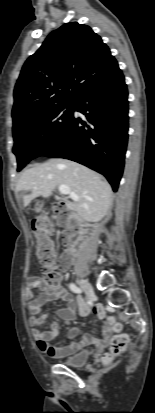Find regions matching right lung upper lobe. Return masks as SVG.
<instances>
[{
	"label": "right lung upper lobe",
	"mask_w": 155,
	"mask_h": 413,
	"mask_svg": "<svg viewBox=\"0 0 155 413\" xmlns=\"http://www.w3.org/2000/svg\"><path fill=\"white\" fill-rule=\"evenodd\" d=\"M117 67L108 46L89 26L64 24L23 65L14 90L13 126L73 103Z\"/></svg>",
	"instance_id": "1"
}]
</instances>
